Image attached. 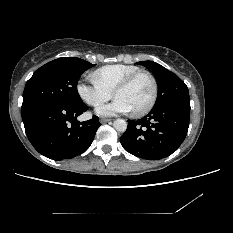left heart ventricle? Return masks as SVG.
<instances>
[{"label":"left heart ventricle","instance_id":"b2bd125f","mask_svg":"<svg viewBox=\"0 0 233 233\" xmlns=\"http://www.w3.org/2000/svg\"><path fill=\"white\" fill-rule=\"evenodd\" d=\"M152 95V85L148 77H138L130 86L119 91L115 98L126 101L132 111L145 107Z\"/></svg>","mask_w":233,"mask_h":233}]
</instances>
